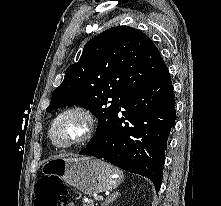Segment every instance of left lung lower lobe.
Wrapping results in <instances>:
<instances>
[{"mask_svg": "<svg viewBox=\"0 0 221 206\" xmlns=\"http://www.w3.org/2000/svg\"><path fill=\"white\" fill-rule=\"evenodd\" d=\"M103 137L79 154L101 157L126 171L149 178L158 192L167 139L175 124V101L169 71L136 91ZM128 120L129 123H123Z\"/></svg>", "mask_w": 221, "mask_h": 206, "instance_id": "left-lung-lower-lobe-1", "label": "left lung lower lobe"}]
</instances>
